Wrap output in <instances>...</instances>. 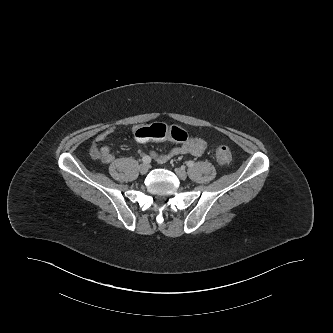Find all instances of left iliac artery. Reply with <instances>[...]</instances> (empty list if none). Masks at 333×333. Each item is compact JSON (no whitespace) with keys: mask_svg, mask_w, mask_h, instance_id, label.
<instances>
[{"mask_svg":"<svg viewBox=\"0 0 333 333\" xmlns=\"http://www.w3.org/2000/svg\"><path fill=\"white\" fill-rule=\"evenodd\" d=\"M186 165L188 166V167H192L193 165H194V162L193 161H188L187 163H186Z\"/></svg>","mask_w":333,"mask_h":333,"instance_id":"left-iliac-artery-1","label":"left iliac artery"}]
</instances>
